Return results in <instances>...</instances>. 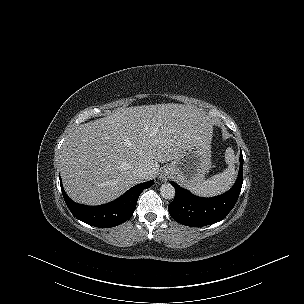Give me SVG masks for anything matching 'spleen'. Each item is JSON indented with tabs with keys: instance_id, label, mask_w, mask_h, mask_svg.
<instances>
[{
	"instance_id": "spleen-1",
	"label": "spleen",
	"mask_w": 304,
	"mask_h": 304,
	"mask_svg": "<svg viewBox=\"0 0 304 304\" xmlns=\"http://www.w3.org/2000/svg\"><path fill=\"white\" fill-rule=\"evenodd\" d=\"M225 159L228 163L226 170L190 188L191 192L198 196L210 197L227 191L233 185L236 178L234 165L236 159L234 151L231 148L226 150Z\"/></svg>"
}]
</instances>
